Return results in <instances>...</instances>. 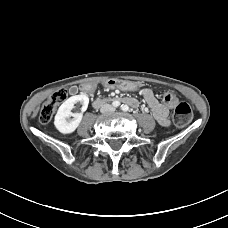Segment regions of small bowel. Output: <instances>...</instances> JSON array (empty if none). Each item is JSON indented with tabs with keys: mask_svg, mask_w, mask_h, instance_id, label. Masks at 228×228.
I'll return each instance as SVG.
<instances>
[{
	"mask_svg": "<svg viewBox=\"0 0 228 228\" xmlns=\"http://www.w3.org/2000/svg\"><path fill=\"white\" fill-rule=\"evenodd\" d=\"M105 85L109 88H116L120 90H131L133 89V85L130 82L127 81H117V80H109L105 83ZM141 95L143 96L146 104L151 109V112L154 116V118L157 120V122L167 127L170 124L168 115H169V109L166 105L158 101V99L155 97L153 91L147 87H144L140 90ZM134 100L135 104L131 106H137L138 102L137 100L131 98Z\"/></svg>",
	"mask_w": 228,
	"mask_h": 228,
	"instance_id": "obj_1",
	"label": "small bowel"
}]
</instances>
